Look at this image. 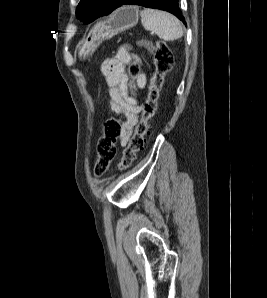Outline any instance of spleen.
I'll use <instances>...</instances> for the list:
<instances>
[{"instance_id": "1", "label": "spleen", "mask_w": 267, "mask_h": 298, "mask_svg": "<svg viewBox=\"0 0 267 298\" xmlns=\"http://www.w3.org/2000/svg\"><path fill=\"white\" fill-rule=\"evenodd\" d=\"M140 16L144 29L153 31L160 39L174 41L183 36L180 21L168 12L144 9L140 12Z\"/></svg>"}]
</instances>
